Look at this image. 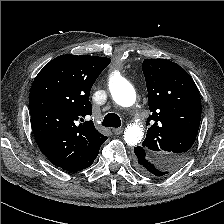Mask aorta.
<instances>
[{
  "mask_svg": "<svg viewBox=\"0 0 224 224\" xmlns=\"http://www.w3.org/2000/svg\"><path fill=\"white\" fill-rule=\"evenodd\" d=\"M109 90L113 100L122 107H129L135 103L136 93L133 86L120 75H113L109 80ZM143 128L137 124H130L124 131V140L130 145H137L143 138Z\"/></svg>",
  "mask_w": 224,
  "mask_h": 224,
  "instance_id": "762f6f07",
  "label": "aorta"
}]
</instances>
